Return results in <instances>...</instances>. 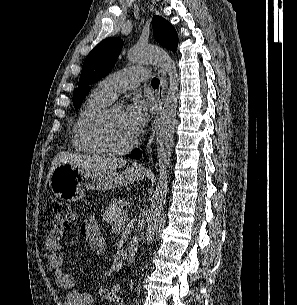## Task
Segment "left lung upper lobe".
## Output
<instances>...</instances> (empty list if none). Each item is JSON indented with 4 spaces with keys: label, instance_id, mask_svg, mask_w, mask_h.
<instances>
[{
    "label": "left lung upper lobe",
    "instance_id": "left-lung-upper-lobe-1",
    "mask_svg": "<svg viewBox=\"0 0 297 305\" xmlns=\"http://www.w3.org/2000/svg\"><path fill=\"white\" fill-rule=\"evenodd\" d=\"M154 37L163 47L175 51L178 45V35L175 28L163 17L154 16L152 19ZM123 47L120 38H107L101 41L86 57L78 87L73 93V104L79 109L83 99L88 94L89 85L106 76L115 65Z\"/></svg>",
    "mask_w": 297,
    "mask_h": 305
}]
</instances>
